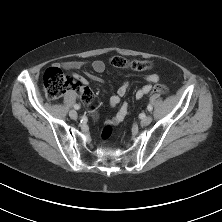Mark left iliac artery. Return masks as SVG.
Masks as SVG:
<instances>
[{"instance_id": "44dca946", "label": "left iliac artery", "mask_w": 222, "mask_h": 222, "mask_svg": "<svg viewBox=\"0 0 222 222\" xmlns=\"http://www.w3.org/2000/svg\"><path fill=\"white\" fill-rule=\"evenodd\" d=\"M147 109H148V111H152V106L149 104L148 106H147Z\"/></svg>"}]
</instances>
